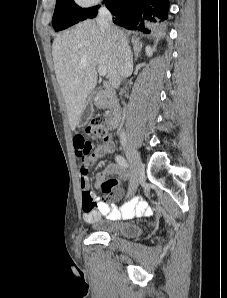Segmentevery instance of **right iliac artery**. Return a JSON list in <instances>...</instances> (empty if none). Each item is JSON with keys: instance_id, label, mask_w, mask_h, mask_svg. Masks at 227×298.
<instances>
[{"instance_id": "1", "label": "right iliac artery", "mask_w": 227, "mask_h": 298, "mask_svg": "<svg viewBox=\"0 0 227 298\" xmlns=\"http://www.w3.org/2000/svg\"><path fill=\"white\" fill-rule=\"evenodd\" d=\"M115 159H116L117 163H118L121 167H123V168H129V164H128L127 160H126L124 157H122V156H120V155H117V156L115 157Z\"/></svg>"}]
</instances>
